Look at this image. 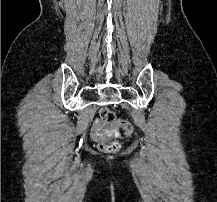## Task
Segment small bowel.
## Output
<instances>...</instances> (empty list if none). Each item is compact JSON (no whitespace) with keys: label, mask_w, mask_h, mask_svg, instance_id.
Listing matches in <instances>:
<instances>
[{"label":"small bowel","mask_w":217,"mask_h":202,"mask_svg":"<svg viewBox=\"0 0 217 202\" xmlns=\"http://www.w3.org/2000/svg\"><path fill=\"white\" fill-rule=\"evenodd\" d=\"M113 136H119L117 128H111L101 118H96L93 121L90 129V138L92 141L101 142Z\"/></svg>","instance_id":"small-bowel-1"}]
</instances>
